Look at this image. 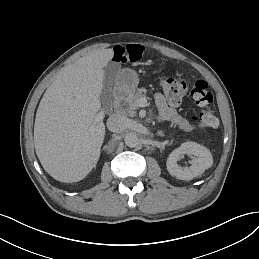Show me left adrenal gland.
<instances>
[{
	"mask_svg": "<svg viewBox=\"0 0 259 259\" xmlns=\"http://www.w3.org/2000/svg\"><path fill=\"white\" fill-rule=\"evenodd\" d=\"M157 134H158L159 136H164V134L161 133V131H159Z\"/></svg>",
	"mask_w": 259,
	"mask_h": 259,
	"instance_id": "obj_1",
	"label": "left adrenal gland"
}]
</instances>
